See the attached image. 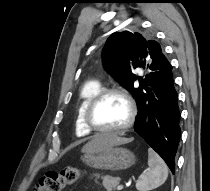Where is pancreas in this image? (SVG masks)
<instances>
[{
  "mask_svg": "<svg viewBox=\"0 0 210 191\" xmlns=\"http://www.w3.org/2000/svg\"><path fill=\"white\" fill-rule=\"evenodd\" d=\"M103 179V186L107 191H112L114 189H116V187L118 186L119 182H120V178L119 177H111V176H104L102 177Z\"/></svg>",
  "mask_w": 210,
  "mask_h": 191,
  "instance_id": "1",
  "label": "pancreas"
}]
</instances>
